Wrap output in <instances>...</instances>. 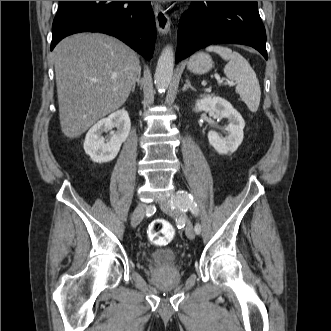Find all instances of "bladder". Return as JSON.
Instances as JSON below:
<instances>
[{"instance_id":"bladder-1","label":"bladder","mask_w":331,"mask_h":331,"mask_svg":"<svg viewBox=\"0 0 331 331\" xmlns=\"http://www.w3.org/2000/svg\"><path fill=\"white\" fill-rule=\"evenodd\" d=\"M149 258L154 264L159 266H170L179 261V255L173 249L154 250Z\"/></svg>"}]
</instances>
